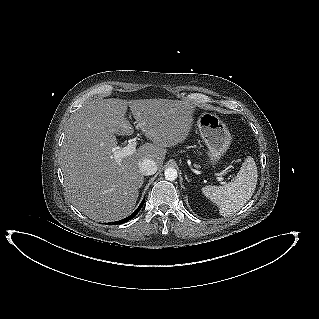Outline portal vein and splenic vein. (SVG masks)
<instances>
[{
	"label": "portal vein and splenic vein",
	"mask_w": 319,
	"mask_h": 319,
	"mask_svg": "<svg viewBox=\"0 0 319 319\" xmlns=\"http://www.w3.org/2000/svg\"><path fill=\"white\" fill-rule=\"evenodd\" d=\"M136 146H137L136 140H130L129 143L127 144V146H125L123 148H117L113 154L115 160L120 164L121 160L124 157L130 156L136 152ZM217 179L219 181L224 180V178L221 176V174L218 175Z\"/></svg>",
	"instance_id": "obj_1"
}]
</instances>
